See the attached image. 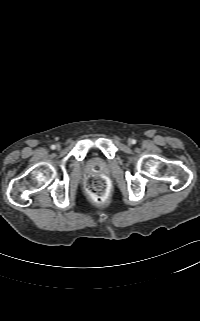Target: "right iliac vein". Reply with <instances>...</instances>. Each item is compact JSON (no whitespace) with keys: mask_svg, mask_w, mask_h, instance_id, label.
<instances>
[{"mask_svg":"<svg viewBox=\"0 0 200 321\" xmlns=\"http://www.w3.org/2000/svg\"><path fill=\"white\" fill-rule=\"evenodd\" d=\"M56 148H57V149H60V145H59V144H58V145H56Z\"/></svg>","mask_w":200,"mask_h":321,"instance_id":"63e3f726","label":"right iliac vein"}]
</instances>
